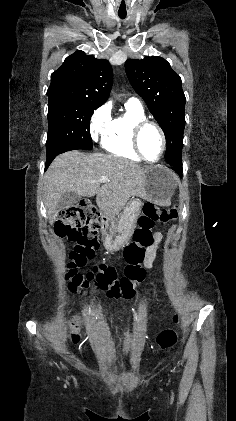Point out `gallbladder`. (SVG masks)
Returning <instances> with one entry per match:
<instances>
[{"label": "gallbladder", "mask_w": 236, "mask_h": 421, "mask_svg": "<svg viewBox=\"0 0 236 421\" xmlns=\"http://www.w3.org/2000/svg\"><path fill=\"white\" fill-rule=\"evenodd\" d=\"M78 200H81L80 194H76V192H71V190H68V192H64V194H62L57 204L56 211H63V208L74 206Z\"/></svg>", "instance_id": "obj_1"}]
</instances>
